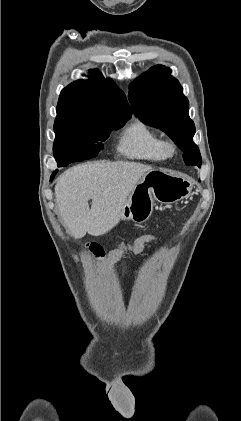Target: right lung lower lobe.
Listing matches in <instances>:
<instances>
[{
	"instance_id": "98d812e1",
	"label": "right lung lower lobe",
	"mask_w": 241,
	"mask_h": 421,
	"mask_svg": "<svg viewBox=\"0 0 241 421\" xmlns=\"http://www.w3.org/2000/svg\"><path fill=\"white\" fill-rule=\"evenodd\" d=\"M56 172H57V171H55V172L51 175V179H50V180H52V179L54 178V176H55Z\"/></svg>"
}]
</instances>
